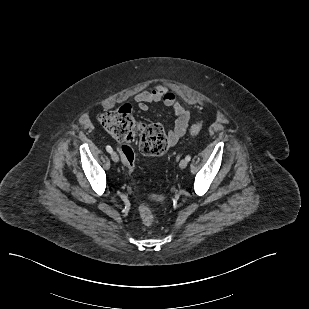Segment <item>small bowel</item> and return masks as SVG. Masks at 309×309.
I'll use <instances>...</instances> for the list:
<instances>
[{"label":"small bowel","mask_w":309,"mask_h":309,"mask_svg":"<svg viewBox=\"0 0 309 309\" xmlns=\"http://www.w3.org/2000/svg\"><path fill=\"white\" fill-rule=\"evenodd\" d=\"M134 99L141 111H147L151 103H162L172 109L176 119L174 127L167 134L170 146L175 145L186 134L190 112L165 85L156 84L151 90L137 93Z\"/></svg>","instance_id":"c3829d8e"}]
</instances>
